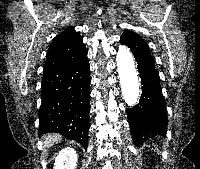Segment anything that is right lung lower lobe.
<instances>
[{
    "instance_id": "right-lung-lower-lobe-1",
    "label": "right lung lower lobe",
    "mask_w": 200,
    "mask_h": 169,
    "mask_svg": "<svg viewBox=\"0 0 200 169\" xmlns=\"http://www.w3.org/2000/svg\"><path fill=\"white\" fill-rule=\"evenodd\" d=\"M87 51L72 63L44 71L39 135L60 133L87 147L90 73Z\"/></svg>"
}]
</instances>
